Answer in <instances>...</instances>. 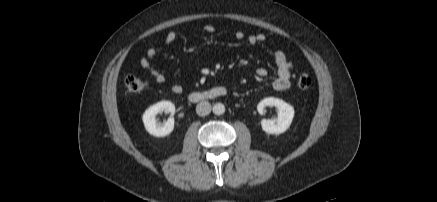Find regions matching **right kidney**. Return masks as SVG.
<instances>
[{
	"mask_svg": "<svg viewBox=\"0 0 437 202\" xmlns=\"http://www.w3.org/2000/svg\"><path fill=\"white\" fill-rule=\"evenodd\" d=\"M174 114L175 106L170 101H160L150 106L143 114L142 121L147 132L156 137L169 135L174 129V119L169 118L164 124L156 121V115L161 112Z\"/></svg>",
	"mask_w": 437,
	"mask_h": 202,
	"instance_id": "1",
	"label": "right kidney"
}]
</instances>
